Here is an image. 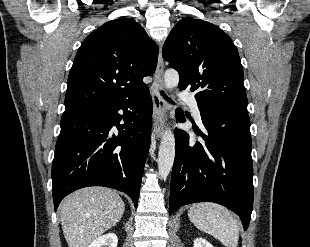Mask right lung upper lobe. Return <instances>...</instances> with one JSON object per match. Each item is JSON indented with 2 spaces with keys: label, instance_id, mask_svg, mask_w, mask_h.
I'll list each match as a JSON object with an SVG mask.
<instances>
[{
  "label": "right lung upper lobe",
  "instance_id": "1",
  "mask_svg": "<svg viewBox=\"0 0 310 247\" xmlns=\"http://www.w3.org/2000/svg\"><path fill=\"white\" fill-rule=\"evenodd\" d=\"M158 48L134 19L106 22L83 41L67 82L65 110L132 99L148 90Z\"/></svg>",
  "mask_w": 310,
  "mask_h": 247
}]
</instances>
